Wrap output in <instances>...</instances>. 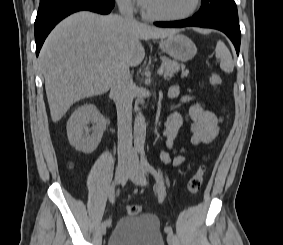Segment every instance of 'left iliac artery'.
<instances>
[{"mask_svg":"<svg viewBox=\"0 0 283 245\" xmlns=\"http://www.w3.org/2000/svg\"><path fill=\"white\" fill-rule=\"evenodd\" d=\"M140 156H141V166L145 170V172H148L153 175L157 182V190H158V199L159 202H162L164 200V195H165V187L163 183V178L162 176L157 173V171L150 165L148 162L144 150H140ZM166 233H173V229L171 226H166L164 228Z\"/></svg>","mask_w":283,"mask_h":245,"instance_id":"obj_1","label":"left iliac artery"}]
</instances>
